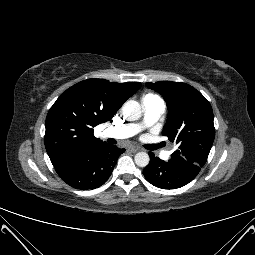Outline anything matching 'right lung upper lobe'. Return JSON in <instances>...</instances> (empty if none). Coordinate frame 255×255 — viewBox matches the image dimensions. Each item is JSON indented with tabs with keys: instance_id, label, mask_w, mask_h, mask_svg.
I'll use <instances>...</instances> for the list:
<instances>
[{
	"instance_id": "obj_1",
	"label": "right lung upper lobe",
	"mask_w": 255,
	"mask_h": 255,
	"mask_svg": "<svg viewBox=\"0 0 255 255\" xmlns=\"http://www.w3.org/2000/svg\"><path fill=\"white\" fill-rule=\"evenodd\" d=\"M140 85L87 79L62 93L45 123V147L52 164L106 143L94 137L93 128L110 121Z\"/></svg>"
}]
</instances>
